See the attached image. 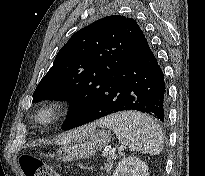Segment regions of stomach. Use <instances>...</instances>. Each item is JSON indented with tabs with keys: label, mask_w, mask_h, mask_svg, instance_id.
Masks as SVG:
<instances>
[{
	"label": "stomach",
	"mask_w": 205,
	"mask_h": 176,
	"mask_svg": "<svg viewBox=\"0 0 205 176\" xmlns=\"http://www.w3.org/2000/svg\"><path fill=\"white\" fill-rule=\"evenodd\" d=\"M111 140V134L104 129H97V124H90L80 137L70 143L64 144L57 151V159L70 162L85 159L106 147Z\"/></svg>",
	"instance_id": "0dacf381"
}]
</instances>
